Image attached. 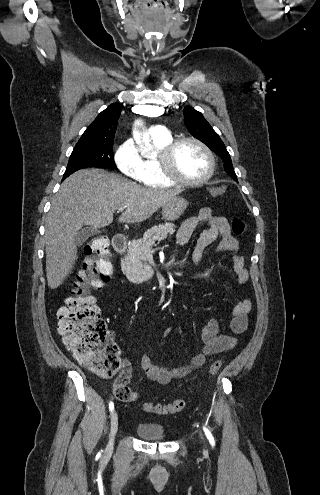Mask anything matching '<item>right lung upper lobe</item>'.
<instances>
[{
    "instance_id": "1",
    "label": "right lung upper lobe",
    "mask_w": 320,
    "mask_h": 495,
    "mask_svg": "<svg viewBox=\"0 0 320 495\" xmlns=\"http://www.w3.org/2000/svg\"><path fill=\"white\" fill-rule=\"evenodd\" d=\"M120 113L119 104L108 106L85 130L76 145L113 144Z\"/></svg>"
}]
</instances>
